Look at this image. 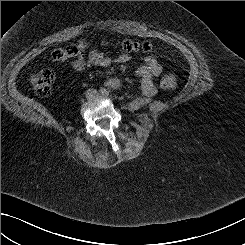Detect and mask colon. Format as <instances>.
I'll return each instance as SVG.
<instances>
[{"mask_svg":"<svg viewBox=\"0 0 245 245\" xmlns=\"http://www.w3.org/2000/svg\"><path fill=\"white\" fill-rule=\"evenodd\" d=\"M152 43L149 41L137 42L130 39L121 42V49L128 53L135 52H150L152 50ZM74 54V46H69L65 49L56 50L52 57L53 59L60 57L62 54ZM54 73L50 69H42L30 78L31 85L35 92L39 95L45 96L50 92L52 81L54 80ZM161 88L165 90H173L177 87V79L173 74H167L162 77L160 81Z\"/></svg>","mask_w":245,"mask_h":245,"instance_id":"colon-1","label":"colon"}]
</instances>
